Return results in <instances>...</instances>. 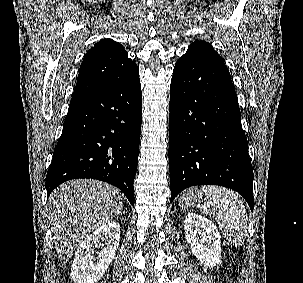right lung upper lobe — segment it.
I'll use <instances>...</instances> for the list:
<instances>
[{
    "label": "right lung upper lobe",
    "mask_w": 303,
    "mask_h": 283,
    "mask_svg": "<svg viewBox=\"0 0 303 283\" xmlns=\"http://www.w3.org/2000/svg\"><path fill=\"white\" fill-rule=\"evenodd\" d=\"M139 74L124 47L112 39L97 42L84 56L71 100L109 90Z\"/></svg>",
    "instance_id": "right-lung-upper-lobe-1"
}]
</instances>
